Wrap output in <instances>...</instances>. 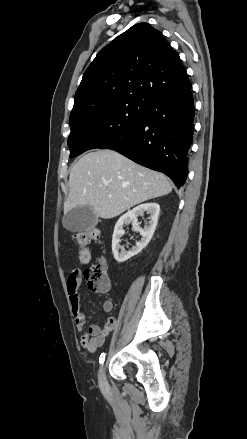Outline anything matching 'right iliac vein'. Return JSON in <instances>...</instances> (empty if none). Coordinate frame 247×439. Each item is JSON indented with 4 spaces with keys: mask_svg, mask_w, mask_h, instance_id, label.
<instances>
[{
    "mask_svg": "<svg viewBox=\"0 0 247 439\" xmlns=\"http://www.w3.org/2000/svg\"><path fill=\"white\" fill-rule=\"evenodd\" d=\"M99 384L101 387L105 386V367L102 366L99 370Z\"/></svg>",
    "mask_w": 247,
    "mask_h": 439,
    "instance_id": "1",
    "label": "right iliac vein"
}]
</instances>
